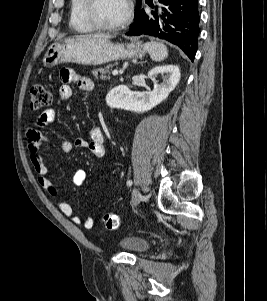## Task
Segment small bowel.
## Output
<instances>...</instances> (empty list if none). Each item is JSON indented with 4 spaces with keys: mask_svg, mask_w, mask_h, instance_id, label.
<instances>
[{
    "mask_svg": "<svg viewBox=\"0 0 267 301\" xmlns=\"http://www.w3.org/2000/svg\"><path fill=\"white\" fill-rule=\"evenodd\" d=\"M62 85L59 88V97L61 100H68L72 97V88L70 84H76L82 91L91 92L94 90V82L85 76L76 74L73 70L63 69L60 74ZM55 120V112L53 109L43 111L37 118L34 127L27 130V145L30 153L31 163L38 175V183L51 196L57 197L59 190L56 185L49 179L48 169L43 162L40 148L42 144L50 142L41 129L51 125ZM61 150L70 153L74 148H87L96 157H104L105 155V137L101 128L94 127L89 132V140L78 137L74 141L64 140L60 144ZM87 178L85 170H78L72 178V183L76 187H80ZM58 207L63 215L70 217L74 224H82L86 229H91L94 225V219L87 217L82 220L74 214L73 207L66 201H59Z\"/></svg>",
    "mask_w": 267,
    "mask_h": 301,
    "instance_id": "small-bowel-1",
    "label": "small bowel"
}]
</instances>
